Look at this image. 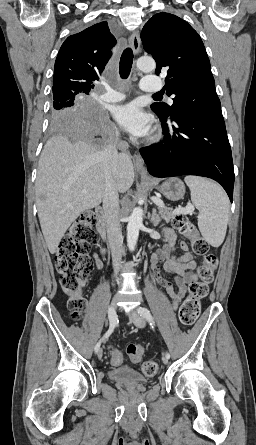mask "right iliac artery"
<instances>
[{
  "instance_id": "obj_1",
  "label": "right iliac artery",
  "mask_w": 256,
  "mask_h": 445,
  "mask_svg": "<svg viewBox=\"0 0 256 445\" xmlns=\"http://www.w3.org/2000/svg\"><path fill=\"white\" fill-rule=\"evenodd\" d=\"M108 317H109V320H110V326H109V329L107 330V332L104 334V336H103V337L99 340V342L96 344V346H95V348H94V350H95L96 353H97V352L99 351V349H100L101 342L104 341L106 338H108V337L112 334L114 328H115L116 325H117V316H116V314H114V315H110V309H109V311H108Z\"/></svg>"
}]
</instances>
